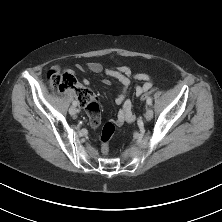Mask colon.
Here are the masks:
<instances>
[{"label":"colon","instance_id":"obj_1","mask_svg":"<svg viewBox=\"0 0 222 222\" xmlns=\"http://www.w3.org/2000/svg\"><path fill=\"white\" fill-rule=\"evenodd\" d=\"M47 79L49 87L56 91L62 92L67 89H75L77 92V97L79 102L85 107L89 114L97 113L99 109L97 97L88 89L81 87L77 84L74 76L68 72H61L58 69L51 68L47 73ZM158 90L157 86L146 91L145 94L141 96V100L146 102L148 97ZM115 132V125L112 122L106 123L101 131V144L103 154H107L109 150V140Z\"/></svg>","mask_w":222,"mask_h":222}]
</instances>
